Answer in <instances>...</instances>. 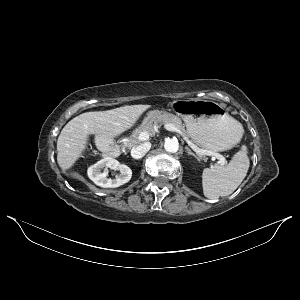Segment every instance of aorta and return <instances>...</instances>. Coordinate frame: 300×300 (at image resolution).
Returning a JSON list of instances; mask_svg holds the SVG:
<instances>
[{
  "label": "aorta",
  "mask_w": 300,
  "mask_h": 300,
  "mask_svg": "<svg viewBox=\"0 0 300 300\" xmlns=\"http://www.w3.org/2000/svg\"><path fill=\"white\" fill-rule=\"evenodd\" d=\"M164 148L169 153H176L179 150V142L177 139H167Z\"/></svg>",
  "instance_id": "762f6f07"
}]
</instances>
